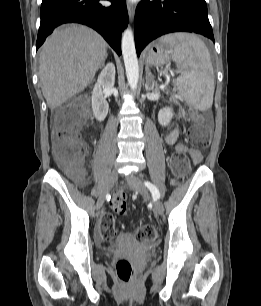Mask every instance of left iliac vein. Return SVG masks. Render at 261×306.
<instances>
[{"label":"left iliac vein","instance_id":"obj_1","mask_svg":"<svg viewBox=\"0 0 261 306\" xmlns=\"http://www.w3.org/2000/svg\"><path fill=\"white\" fill-rule=\"evenodd\" d=\"M126 180L132 190L139 193L145 199L149 198L148 190L138 176L130 175L126 178ZM153 206H154V211L158 215H163L164 206L160 200H154Z\"/></svg>","mask_w":261,"mask_h":306}]
</instances>
